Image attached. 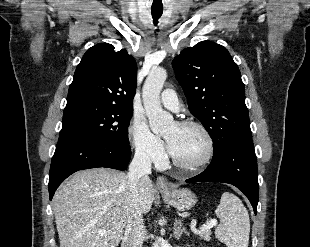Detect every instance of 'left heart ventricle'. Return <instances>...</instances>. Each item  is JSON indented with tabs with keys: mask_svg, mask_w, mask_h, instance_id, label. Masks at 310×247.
Here are the masks:
<instances>
[{
	"mask_svg": "<svg viewBox=\"0 0 310 247\" xmlns=\"http://www.w3.org/2000/svg\"><path fill=\"white\" fill-rule=\"evenodd\" d=\"M164 137L172 145L171 155L182 163H196L206 153L205 137L197 128L174 124L166 130Z\"/></svg>",
	"mask_w": 310,
	"mask_h": 247,
	"instance_id": "b2bd125f",
	"label": "left heart ventricle"
}]
</instances>
